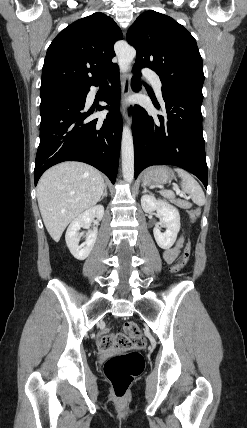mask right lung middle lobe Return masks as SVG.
Here are the masks:
<instances>
[{
  "label": "right lung middle lobe",
  "instance_id": "right-lung-middle-lobe-1",
  "mask_svg": "<svg viewBox=\"0 0 247 428\" xmlns=\"http://www.w3.org/2000/svg\"><path fill=\"white\" fill-rule=\"evenodd\" d=\"M87 89H80V88H68V89H61L56 90L52 92L42 93L41 94V101L51 98H59V97H69V96H82L85 94Z\"/></svg>",
  "mask_w": 247,
  "mask_h": 428
}]
</instances>
